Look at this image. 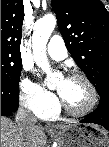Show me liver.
I'll use <instances>...</instances> for the list:
<instances>
[{
	"instance_id": "6515ba94",
	"label": "liver",
	"mask_w": 109,
	"mask_h": 147,
	"mask_svg": "<svg viewBox=\"0 0 109 147\" xmlns=\"http://www.w3.org/2000/svg\"><path fill=\"white\" fill-rule=\"evenodd\" d=\"M67 126L60 124L56 128L63 129ZM45 144L46 136L42 126H37L28 140L9 118L1 117V147H44Z\"/></svg>"
}]
</instances>
